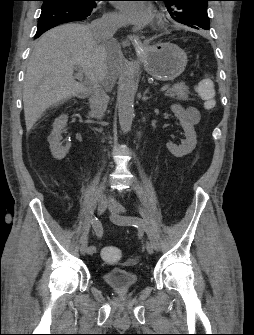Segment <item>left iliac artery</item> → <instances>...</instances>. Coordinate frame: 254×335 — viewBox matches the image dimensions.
<instances>
[{
	"instance_id": "left-iliac-artery-1",
	"label": "left iliac artery",
	"mask_w": 254,
	"mask_h": 335,
	"mask_svg": "<svg viewBox=\"0 0 254 335\" xmlns=\"http://www.w3.org/2000/svg\"><path fill=\"white\" fill-rule=\"evenodd\" d=\"M117 219L121 222H126L134 227L143 229L146 232L147 237L153 245L154 249L157 251L160 250V244L154 232L152 231L150 226H148L147 223H145L142 219L135 216H118Z\"/></svg>"
}]
</instances>
